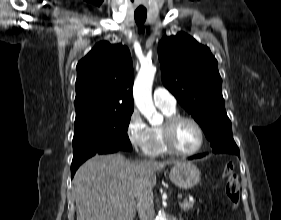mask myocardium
Returning <instances> with one entry per match:
<instances>
[{
	"label": "myocardium",
	"mask_w": 281,
	"mask_h": 220,
	"mask_svg": "<svg viewBox=\"0 0 281 220\" xmlns=\"http://www.w3.org/2000/svg\"><path fill=\"white\" fill-rule=\"evenodd\" d=\"M182 121H188L192 123L196 127L199 133V143L193 150L190 151H182L178 149L174 143V139H173L174 129L176 125ZM161 135L166 149L170 153L180 156H192L198 153L203 147L204 139H205L204 130L200 125V123L195 118L188 115H178V114L170 116L166 119L165 123L161 127Z\"/></svg>",
	"instance_id": "obj_1"
}]
</instances>
